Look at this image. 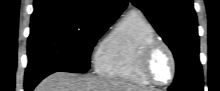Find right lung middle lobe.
<instances>
[{
    "label": "right lung middle lobe",
    "instance_id": "obj_1",
    "mask_svg": "<svg viewBox=\"0 0 220 91\" xmlns=\"http://www.w3.org/2000/svg\"><path fill=\"white\" fill-rule=\"evenodd\" d=\"M109 26L67 20L32 24L25 81L42 80L57 71H88L91 51Z\"/></svg>",
    "mask_w": 220,
    "mask_h": 91
}]
</instances>
